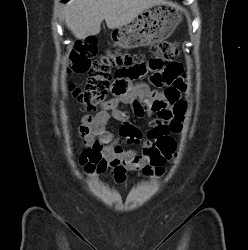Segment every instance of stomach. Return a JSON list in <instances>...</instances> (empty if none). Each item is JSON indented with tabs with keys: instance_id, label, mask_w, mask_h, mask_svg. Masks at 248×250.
Masks as SVG:
<instances>
[{
	"instance_id": "1",
	"label": "stomach",
	"mask_w": 248,
	"mask_h": 250,
	"mask_svg": "<svg viewBox=\"0 0 248 250\" xmlns=\"http://www.w3.org/2000/svg\"><path fill=\"white\" fill-rule=\"evenodd\" d=\"M181 21L179 7L170 2L152 5L136 18L111 32L115 45L130 49L149 46L165 40Z\"/></svg>"
}]
</instances>
